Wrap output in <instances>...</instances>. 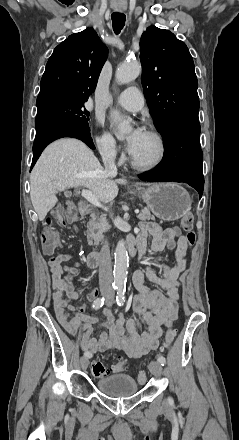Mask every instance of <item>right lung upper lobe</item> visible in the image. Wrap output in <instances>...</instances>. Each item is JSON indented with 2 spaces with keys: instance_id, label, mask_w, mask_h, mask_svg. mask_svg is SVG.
<instances>
[{
  "instance_id": "1",
  "label": "right lung upper lobe",
  "mask_w": 239,
  "mask_h": 440,
  "mask_svg": "<svg viewBox=\"0 0 239 440\" xmlns=\"http://www.w3.org/2000/svg\"><path fill=\"white\" fill-rule=\"evenodd\" d=\"M108 49L93 28L70 35L49 58L37 102L55 97L88 99L95 90Z\"/></svg>"
}]
</instances>
